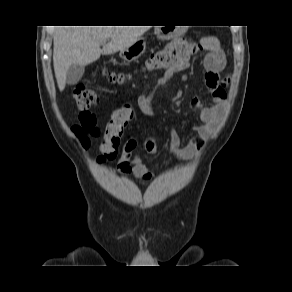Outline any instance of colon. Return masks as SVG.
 Returning a JSON list of instances; mask_svg holds the SVG:
<instances>
[{"label": "colon", "mask_w": 292, "mask_h": 292, "mask_svg": "<svg viewBox=\"0 0 292 292\" xmlns=\"http://www.w3.org/2000/svg\"><path fill=\"white\" fill-rule=\"evenodd\" d=\"M198 48L199 46L195 42L175 40L152 55L148 59L146 67L153 71H166L170 67L186 61L189 55L197 51ZM110 79L119 81L121 76L119 74H112ZM73 96L80 113L79 123L74 125L72 130L82 146L87 148L91 140L100 135L96 116L91 111V107L98 103L99 97L85 82L75 85ZM140 108L145 115H154L156 112L155 94L149 93L143 96L140 100ZM133 116L134 110L129 105H124L112 113L105 127L100 153L96 158L97 163L102 164L116 157L124 129ZM145 150L150 157H156L159 154L158 145L153 138L146 139Z\"/></svg>", "instance_id": "1"}]
</instances>
